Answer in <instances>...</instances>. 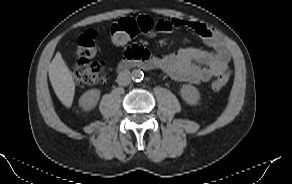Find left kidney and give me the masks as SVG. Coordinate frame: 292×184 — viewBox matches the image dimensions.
I'll return each instance as SVG.
<instances>
[{
  "mask_svg": "<svg viewBox=\"0 0 292 184\" xmlns=\"http://www.w3.org/2000/svg\"><path fill=\"white\" fill-rule=\"evenodd\" d=\"M180 95L189 105H196L200 100V93L198 89L192 85H183L180 89Z\"/></svg>",
  "mask_w": 292,
  "mask_h": 184,
  "instance_id": "1",
  "label": "left kidney"
}]
</instances>
